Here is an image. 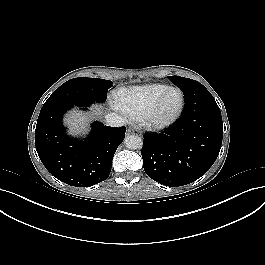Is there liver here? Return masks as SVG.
I'll return each mask as SVG.
<instances>
[{"mask_svg": "<svg viewBox=\"0 0 265 265\" xmlns=\"http://www.w3.org/2000/svg\"><path fill=\"white\" fill-rule=\"evenodd\" d=\"M96 115H100L102 113L101 106H92ZM88 115L82 112L71 111L69 114L66 115L65 123L68 125L70 129V133H79L81 131L86 130L87 122H88Z\"/></svg>", "mask_w": 265, "mask_h": 265, "instance_id": "6515ba94", "label": "liver"}]
</instances>
